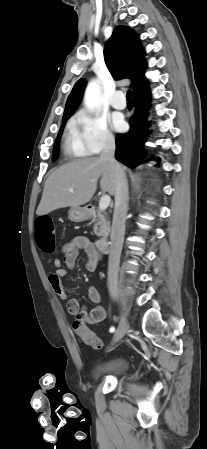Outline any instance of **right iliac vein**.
Returning a JSON list of instances; mask_svg holds the SVG:
<instances>
[{
  "label": "right iliac vein",
  "instance_id": "1",
  "mask_svg": "<svg viewBox=\"0 0 207 449\" xmlns=\"http://www.w3.org/2000/svg\"><path fill=\"white\" fill-rule=\"evenodd\" d=\"M128 327L129 326H128V323H127L126 319L125 318H121L119 326H118V328H117V330H116V332L114 334L113 340H112L113 344L117 343L118 341H120L123 338V336L125 335Z\"/></svg>",
  "mask_w": 207,
  "mask_h": 449
}]
</instances>
